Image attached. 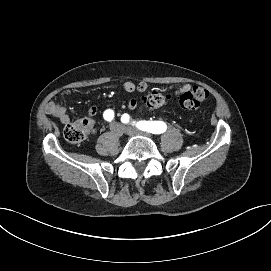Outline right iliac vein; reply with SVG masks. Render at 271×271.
<instances>
[{
    "label": "right iliac vein",
    "instance_id": "1",
    "mask_svg": "<svg viewBox=\"0 0 271 271\" xmlns=\"http://www.w3.org/2000/svg\"><path fill=\"white\" fill-rule=\"evenodd\" d=\"M110 131L119 137L123 134V128L115 122L111 124Z\"/></svg>",
    "mask_w": 271,
    "mask_h": 271
}]
</instances>
